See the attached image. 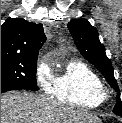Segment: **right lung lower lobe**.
<instances>
[{
	"mask_svg": "<svg viewBox=\"0 0 122 123\" xmlns=\"http://www.w3.org/2000/svg\"><path fill=\"white\" fill-rule=\"evenodd\" d=\"M20 88L14 86H1V93L10 91V90H19Z\"/></svg>",
	"mask_w": 122,
	"mask_h": 123,
	"instance_id": "98d812e1",
	"label": "right lung lower lobe"
}]
</instances>
